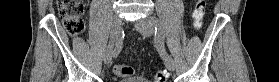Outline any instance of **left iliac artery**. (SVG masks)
Instances as JSON below:
<instances>
[{
	"label": "left iliac artery",
	"instance_id": "1",
	"mask_svg": "<svg viewBox=\"0 0 279 82\" xmlns=\"http://www.w3.org/2000/svg\"><path fill=\"white\" fill-rule=\"evenodd\" d=\"M149 21L154 25L155 27V35L157 37L158 40V44H159V53L160 55L167 59L170 58V56L167 54L165 47H164V40H165V34L163 31V28L161 26L160 21L158 20L157 17L153 16L149 18Z\"/></svg>",
	"mask_w": 279,
	"mask_h": 82
}]
</instances>
